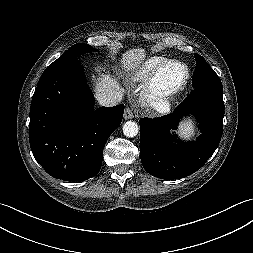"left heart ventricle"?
Masks as SVG:
<instances>
[{"label": "left heart ventricle", "instance_id": "obj_1", "mask_svg": "<svg viewBox=\"0 0 253 253\" xmlns=\"http://www.w3.org/2000/svg\"><path fill=\"white\" fill-rule=\"evenodd\" d=\"M184 75V70L178 66H168L160 76V82L172 84L178 82Z\"/></svg>", "mask_w": 253, "mask_h": 253}]
</instances>
